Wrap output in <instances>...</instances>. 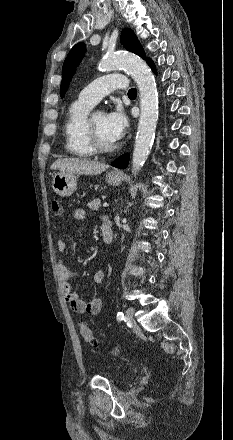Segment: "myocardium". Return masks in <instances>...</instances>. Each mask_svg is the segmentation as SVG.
Returning a JSON list of instances; mask_svg holds the SVG:
<instances>
[{"instance_id":"obj_1","label":"myocardium","mask_w":233,"mask_h":440,"mask_svg":"<svg viewBox=\"0 0 233 440\" xmlns=\"http://www.w3.org/2000/svg\"><path fill=\"white\" fill-rule=\"evenodd\" d=\"M94 114L95 113L89 115L85 123L86 134L91 147L96 153H109L115 151L119 147V143L117 141L110 144H105L99 138L93 124Z\"/></svg>"}]
</instances>
